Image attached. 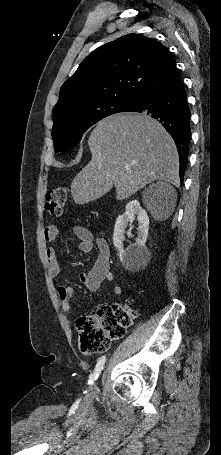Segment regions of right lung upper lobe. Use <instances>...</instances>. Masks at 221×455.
Masks as SVG:
<instances>
[{
  "instance_id": "cb5924a9",
  "label": "right lung upper lobe",
  "mask_w": 221,
  "mask_h": 455,
  "mask_svg": "<svg viewBox=\"0 0 221 455\" xmlns=\"http://www.w3.org/2000/svg\"><path fill=\"white\" fill-rule=\"evenodd\" d=\"M169 55L158 41L139 34L99 47L62 85L54 121L107 100L132 102Z\"/></svg>"
}]
</instances>
